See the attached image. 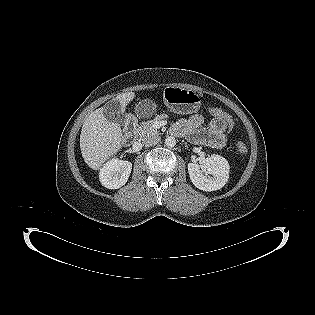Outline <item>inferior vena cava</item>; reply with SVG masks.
Wrapping results in <instances>:
<instances>
[{"instance_id":"inferior-vena-cava-1","label":"inferior vena cava","mask_w":315,"mask_h":315,"mask_svg":"<svg viewBox=\"0 0 315 315\" xmlns=\"http://www.w3.org/2000/svg\"><path fill=\"white\" fill-rule=\"evenodd\" d=\"M160 141H161V138L158 134H150L146 136L145 138H143L142 143L143 145L149 147V146L156 145Z\"/></svg>"}]
</instances>
